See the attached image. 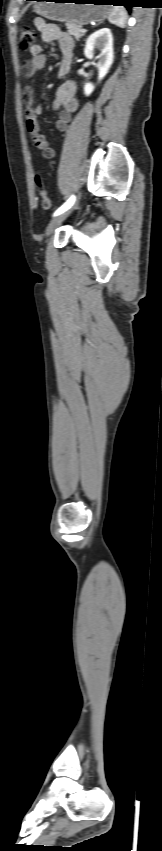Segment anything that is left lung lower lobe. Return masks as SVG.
Wrapping results in <instances>:
<instances>
[{
	"label": "left lung lower lobe",
	"mask_w": 162,
	"mask_h": 851,
	"mask_svg": "<svg viewBox=\"0 0 162 851\" xmlns=\"http://www.w3.org/2000/svg\"><path fill=\"white\" fill-rule=\"evenodd\" d=\"M37 1H38V0H37ZM44 1H45V0H44ZM103 1H104L103 3H111V4H113V5H123V6H125L128 10H130V6H132V5L128 2V0H103Z\"/></svg>",
	"instance_id": "1"
}]
</instances>
